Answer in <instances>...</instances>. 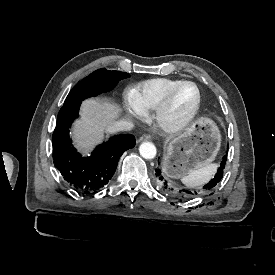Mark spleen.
<instances>
[{"mask_svg":"<svg viewBox=\"0 0 275 275\" xmlns=\"http://www.w3.org/2000/svg\"><path fill=\"white\" fill-rule=\"evenodd\" d=\"M218 163L208 164L198 170L191 171L181 178V182L188 188H196L207 184L217 173Z\"/></svg>","mask_w":275,"mask_h":275,"instance_id":"3e777b00","label":"spleen"}]
</instances>
